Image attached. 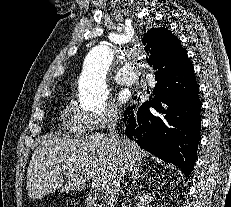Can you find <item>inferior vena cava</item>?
<instances>
[{
	"mask_svg": "<svg viewBox=\"0 0 231 207\" xmlns=\"http://www.w3.org/2000/svg\"><path fill=\"white\" fill-rule=\"evenodd\" d=\"M116 126V120L114 122H112L108 128H109V138L114 146V148L118 147L119 146V143H120V137H119V134L115 128ZM124 184V181L121 180V184ZM122 192V191H121Z\"/></svg>",
	"mask_w": 231,
	"mask_h": 207,
	"instance_id": "obj_1",
	"label": "inferior vena cava"
}]
</instances>
